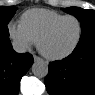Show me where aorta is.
<instances>
[{"label": "aorta", "instance_id": "762f6f07", "mask_svg": "<svg viewBox=\"0 0 95 95\" xmlns=\"http://www.w3.org/2000/svg\"><path fill=\"white\" fill-rule=\"evenodd\" d=\"M31 69L34 76L38 78L46 77L48 74V64L43 60L35 61Z\"/></svg>", "mask_w": 95, "mask_h": 95}]
</instances>
